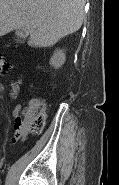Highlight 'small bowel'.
<instances>
[{
    "mask_svg": "<svg viewBox=\"0 0 119 185\" xmlns=\"http://www.w3.org/2000/svg\"><path fill=\"white\" fill-rule=\"evenodd\" d=\"M9 69H11L10 65H3L2 66L3 72L8 71ZM21 86H22L21 79H17L13 82L12 90H11V93H10L12 98H17L18 97V95L21 91ZM36 107H37V104L33 103L32 105H30L28 111L35 110ZM21 110H22V107L20 105H17L14 109V116L16 118L17 127H16V132H15L14 136L11 139L12 143L17 142L18 140L25 141L26 138H27V135L29 133V131H28V121H27L25 115H24L23 119H21V117H20Z\"/></svg>",
    "mask_w": 119,
    "mask_h": 185,
    "instance_id": "small-bowel-1",
    "label": "small bowel"
}]
</instances>
